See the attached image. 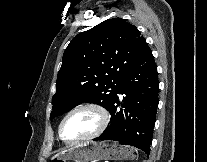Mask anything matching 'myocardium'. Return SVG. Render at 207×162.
Here are the masks:
<instances>
[{"label": "myocardium", "mask_w": 207, "mask_h": 162, "mask_svg": "<svg viewBox=\"0 0 207 162\" xmlns=\"http://www.w3.org/2000/svg\"><path fill=\"white\" fill-rule=\"evenodd\" d=\"M82 110H93L95 111L98 116H99V126L97 127V129L95 131H93L92 133L78 138V139H74V140H66L63 137V128H64V124L67 121V119L69 117H71L73 114L82 111ZM110 121V114L108 112V110L102 106L99 103L96 102H88V103H84L82 105H79L77 107H75L74 109H72L70 112H68L63 119L61 120V123L59 125V129H58V133H59V137L60 139L65 142V143H79V142H83V141H87L90 139H93L97 136H99L108 126Z\"/></svg>", "instance_id": "1"}]
</instances>
